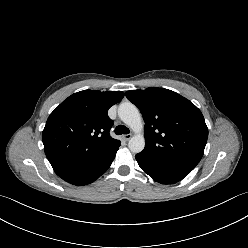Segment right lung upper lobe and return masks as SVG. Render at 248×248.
Masks as SVG:
<instances>
[{
  "label": "right lung upper lobe",
  "instance_id": "obj_1",
  "mask_svg": "<svg viewBox=\"0 0 248 248\" xmlns=\"http://www.w3.org/2000/svg\"><path fill=\"white\" fill-rule=\"evenodd\" d=\"M121 91L84 90L69 96L50 114L42 133L50 161L88 160L120 145L109 130V108L120 102Z\"/></svg>",
  "mask_w": 248,
  "mask_h": 248
}]
</instances>
